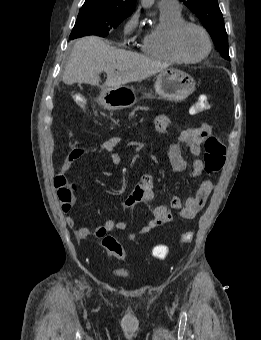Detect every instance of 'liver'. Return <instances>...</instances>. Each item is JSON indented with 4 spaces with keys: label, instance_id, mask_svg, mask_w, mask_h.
Here are the masks:
<instances>
[{
    "label": "liver",
    "instance_id": "liver-1",
    "mask_svg": "<svg viewBox=\"0 0 261 340\" xmlns=\"http://www.w3.org/2000/svg\"><path fill=\"white\" fill-rule=\"evenodd\" d=\"M166 68V64L152 58L109 46L100 37L86 36L74 44L63 82L100 86L99 74L105 72L107 79L101 88H114L142 81Z\"/></svg>",
    "mask_w": 261,
    "mask_h": 340
}]
</instances>
